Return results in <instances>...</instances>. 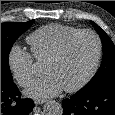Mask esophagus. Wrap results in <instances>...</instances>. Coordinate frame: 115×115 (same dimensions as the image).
I'll return each mask as SVG.
<instances>
[{
  "mask_svg": "<svg viewBox=\"0 0 115 115\" xmlns=\"http://www.w3.org/2000/svg\"><path fill=\"white\" fill-rule=\"evenodd\" d=\"M44 102H45L44 99H35V100H34V103H35L36 105L43 104Z\"/></svg>",
  "mask_w": 115,
  "mask_h": 115,
  "instance_id": "1",
  "label": "esophagus"
}]
</instances>
